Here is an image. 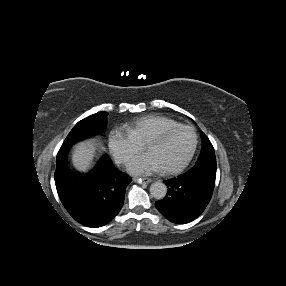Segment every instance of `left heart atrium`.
I'll list each match as a JSON object with an SVG mask.
<instances>
[{"instance_id":"left-heart-atrium-1","label":"left heart atrium","mask_w":286,"mask_h":286,"mask_svg":"<svg viewBox=\"0 0 286 286\" xmlns=\"http://www.w3.org/2000/svg\"><path fill=\"white\" fill-rule=\"evenodd\" d=\"M161 169L160 163L149 151L135 156L128 164V170L136 175L149 174Z\"/></svg>"}]
</instances>
